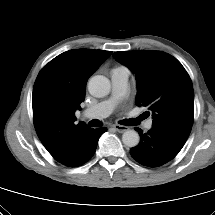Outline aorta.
I'll return each mask as SVG.
<instances>
[{"instance_id": "1", "label": "aorta", "mask_w": 215, "mask_h": 215, "mask_svg": "<svg viewBox=\"0 0 215 215\" xmlns=\"http://www.w3.org/2000/svg\"><path fill=\"white\" fill-rule=\"evenodd\" d=\"M111 84L108 78L102 75L93 76L88 82L89 93L97 98L105 97L109 94ZM140 140L138 132L135 130H126L122 135L123 143L128 147H135Z\"/></svg>"}]
</instances>
